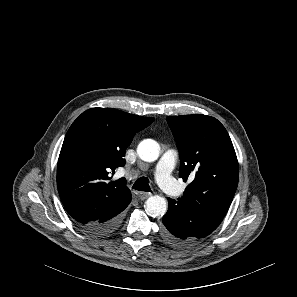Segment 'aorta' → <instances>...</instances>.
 Here are the masks:
<instances>
[{
    "instance_id": "obj_1",
    "label": "aorta",
    "mask_w": 297,
    "mask_h": 297,
    "mask_svg": "<svg viewBox=\"0 0 297 297\" xmlns=\"http://www.w3.org/2000/svg\"><path fill=\"white\" fill-rule=\"evenodd\" d=\"M137 153L143 161L153 162L159 156L158 144L151 139L143 140L137 147ZM145 211L151 217H161L167 211V202L161 196H151L146 201Z\"/></svg>"
}]
</instances>
